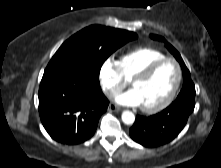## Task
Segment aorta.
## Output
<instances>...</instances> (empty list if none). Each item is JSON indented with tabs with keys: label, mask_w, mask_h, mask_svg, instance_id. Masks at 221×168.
Masks as SVG:
<instances>
[{
	"label": "aorta",
	"mask_w": 221,
	"mask_h": 168,
	"mask_svg": "<svg viewBox=\"0 0 221 168\" xmlns=\"http://www.w3.org/2000/svg\"><path fill=\"white\" fill-rule=\"evenodd\" d=\"M121 117L122 121L127 125H131L135 121V115L131 111H124Z\"/></svg>",
	"instance_id": "1"
}]
</instances>
